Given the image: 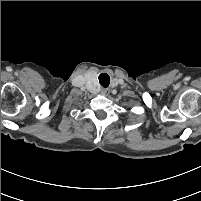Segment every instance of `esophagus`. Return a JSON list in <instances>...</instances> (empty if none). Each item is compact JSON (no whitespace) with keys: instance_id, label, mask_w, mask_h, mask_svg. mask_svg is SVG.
<instances>
[{"instance_id":"obj_1","label":"esophagus","mask_w":201,"mask_h":201,"mask_svg":"<svg viewBox=\"0 0 201 201\" xmlns=\"http://www.w3.org/2000/svg\"><path fill=\"white\" fill-rule=\"evenodd\" d=\"M101 93H102L103 95H107V94L109 93V90H108V89H103V90L101 91Z\"/></svg>"}]
</instances>
